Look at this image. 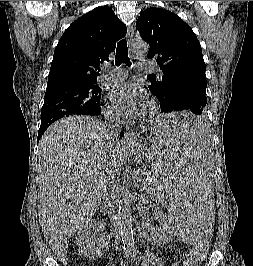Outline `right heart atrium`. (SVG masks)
Instances as JSON below:
<instances>
[{"instance_id":"d8ad5b80","label":"right heart atrium","mask_w":253,"mask_h":266,"mask_svg":"<svg viewBox=\"0 0 253 266\" xmlns=\"http://www.w3.org/2000/svg\"><path fill=\"white\" fill-rule=\"evenodd\" d=\"M104 114L109 120H118L120 114L117 109L110 103H106L104 106Z\"/></svg>"}]
</instances>
